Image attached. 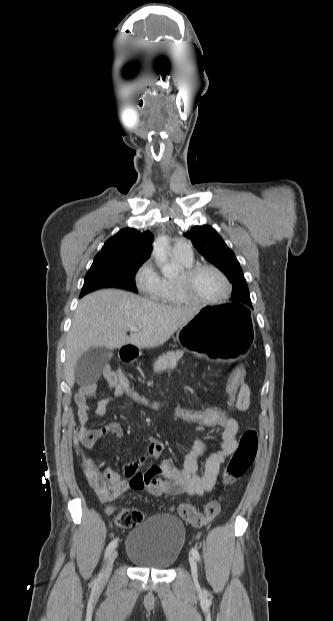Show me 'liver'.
Listing matches in <instances>:
<instances>
[{
    "instance_id": "liver-1",
    "label": "liver",
    "mask_w": 333,
    "mask_h": 621,
    "mask_svg": "<svg viewBox=\"0 0 333 621\" xmlns=\"http://www.w3.org/2000/svg\"><path fill=\"white\" fill-rule=\"evenodd\" d=\"M196 314L122 290H100L85 296L78 303L66 339L64 372L67 384L73 387L77 361L90 348L112 350L129 343L138 348H155L169 340ZM131 326L138 330L128 336Z\"/></svg>"
}]
</instances>
